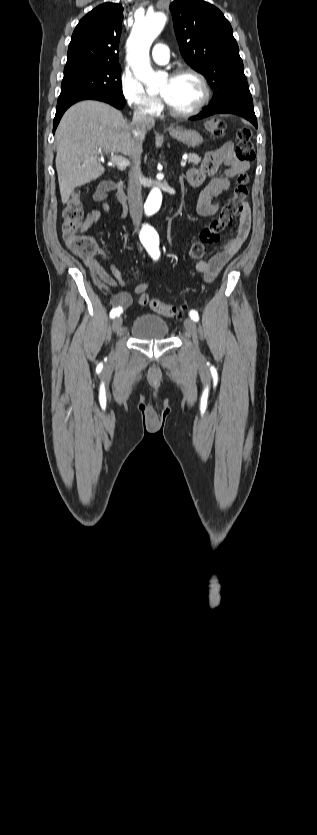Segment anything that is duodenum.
<instances>
[{
	"instance_id": "duodenum-1",
	"label": "duodenum",
	"mask_w": 317,
	"mask_h": 835,
	"mask_svg": "<svg viewBox=\"0 0 317 835\" xmlns=\"http://www.w3.org/2000/svg\"><path fill=\"white\" fill-rule=\"evenodd\" d=\"M106 190L110 195L116 197L121 203L127 202V197L123 189V184L121 182H106Z\"/></svg>"
}]
</instances>
